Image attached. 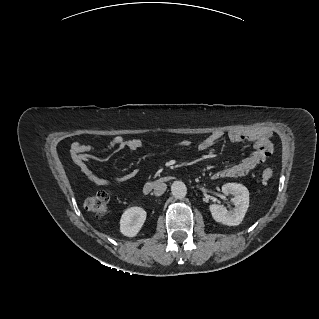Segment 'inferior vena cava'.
<instances>
[{
  "mask_svg": "<svg viewBox=\"0 0 319 319\" xmlns=\"http://www.w3.org/2000/svg\"><path fill=\"white\" fill-rule=\"evenodd\" d=\"M167 189V185L165 183H158L154 187L155 196H161Z\"/></svg>",
  "mask_w": 319,
  "mask_h": 319,
  "instance_id": "602c4592",
  "label": "inferior vena cava"
}]
</instances>
